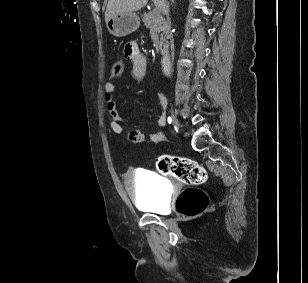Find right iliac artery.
<instances>
[{
	"label": "right iliac artery",
	"instance_id": "82829eb1",
	"mask_svg": "<svg viewBox=\"0 0 308 283\" xmlns=\"http://www.w3.org/2000/svg\"><path fill=\"white\" fill-rule=\"evenodd\" d=\"M168 123L171 124L172 123V118L171 117H168ZM176 129V127H175Z\"/></svg>",
	"mask_w": 308,
	"mask_h": 283
}]
</instances>
